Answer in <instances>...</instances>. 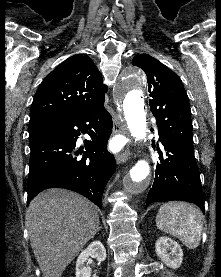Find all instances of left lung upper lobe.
<instances>
[{"mask_svg":"<svg viewBox=\"0 0 221 277\" xmlns=\"http://www.w3.org/2000/svg\"><path fill=\"white\" fill-rule=\"evenodd\" d=\"M132 65L141 68L147 76L150 110L159 131L193 150L190 105L181 79L148 54L136 55Z\"/></svg>","mask_w":221,"mask_h":277,"instance_id":"5c2ea615","label":"left lung upper lobe"}]
</instances>
